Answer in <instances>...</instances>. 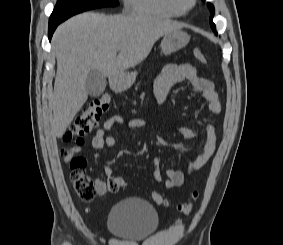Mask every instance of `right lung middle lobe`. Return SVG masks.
Returning a JSON list of instances; mask_svg holds the SVG:
<instances>
[{
  "mask_svg": "<svg viewBox=\"0 0 283 245\" xmlns=\"http://www.w3.org/2000/svg\"><path fill=\"white\" fill-rule=\"evenodd\" d=\"M117 5V0H57L49 23L63 22L69 17L86 10Z\"/></svg>",
  "mask_w": 283,
  "mask_h": 245,
  "instance_id": "1",
  "label": "right lung middle lobe"
}]
</instances>
